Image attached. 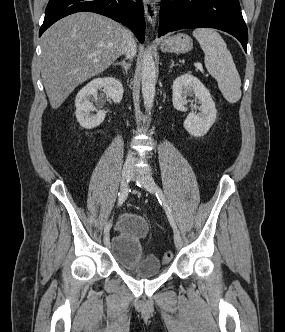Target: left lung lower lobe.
<instances>
[{
  "label": "left lung lower lobe",
  "mask_w": 285,
  "mask_h": 332,
  "mask_svg": "<svg viewBox=\"0 0 285 332\" xmlns=\"http://www.w3.org/2000/svg\"><path fill=\"white\" fill-rule=\"evenodd\" d=\"M162 3L159 36L186 28H216L236 37L247 52L248 31L238 0H175Z\"/></svg>",
  "instance_id": "0a47b994"
}]
</instances>
